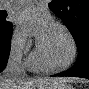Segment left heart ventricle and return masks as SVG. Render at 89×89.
I'll return each mask as SVG.
<instances>
[{
	"mask_svg": "<svg viewBox=\"0 0 89 89\" xmlns=\"http://www.w3.org/2000/svg\"><path fill=\"white\" fill-rule=\"evenodd\" d=\"M46 60L53 65L66 63L71 56V43L62 29L52 25L43 39L39 41Z\"/></svg>",
	"mask_w": 89,
	"mask_h": 89,
	"instance_id": "left-heart-ventricle-1",
	"label": "left heart ventricle"
}]
</instances>
